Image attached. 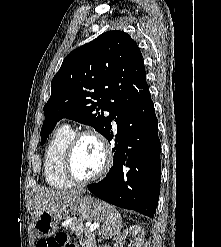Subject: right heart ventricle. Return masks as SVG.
<instances>
[{
    "mask_svg": "<svg viewBox=\"0 0 221 247\" xmlns=\"http://www.w3.org/2000/svg\"><path fill=\"white\" fill-rule=\"evenodd\" d=\"M74 131L67 125L56 130L49 141L44 155V175L47 183L58 189L70 188V182L63 171V159Z\"/></svg>",
    "mask_w": 221,
    "mask_h": 247,
    "instance_id": "obj_1",
    "label": "right heart ventricle"
}]
</instances>
